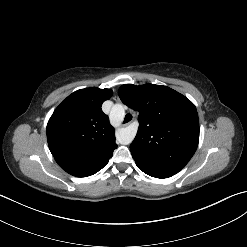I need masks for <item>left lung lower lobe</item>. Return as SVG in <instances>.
I'll return each instance as SVG.
<instances>
[{
    "label": "left lung lower lobe",
    "mask_w": 247,
    "mask_h": 247,
    "mask_svg": "<svg viewBox=\"0 0 247 247\" xmlns=\"http://www.w3.org/2000/svg\"><path fill=\"white\" fill-rule=\"evenodd\" d=\"M136 165L147 175L152 176V177H156V178H168L173 176L174 174L172 173H168V172H163L161 170H159L157 167H155L154 165H151L150 163L141 160V159H137L134 158Z\"/></svg>",
    "instance_id": "1"
}]
</instances>
